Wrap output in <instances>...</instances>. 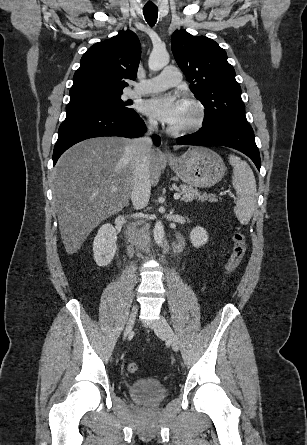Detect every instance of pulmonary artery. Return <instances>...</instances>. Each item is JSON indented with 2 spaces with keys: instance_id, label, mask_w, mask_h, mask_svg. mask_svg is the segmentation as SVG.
<instances>
[{
  "instance_id": "pulmonary-artery-1",
  "label": "pulmonary artery",
  "mask_w": 307,
  "mask_h": 445,
  "mask_svg": "<svg viewBox=\"0 0 307 445\" xmlns=\"http://www.w3.org/2000/svg\"><path fill=\"white\" fill-rule=\"evenodd\" d=\"M148 82L140 81L138 88L131 89L132 94L155 93L167 87L180 83L182 80L181 70L174 66H169L158 74L149 75Z\"/></svg>"
}]
</instances>
